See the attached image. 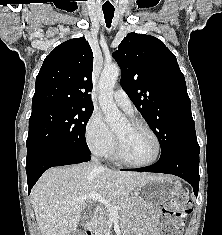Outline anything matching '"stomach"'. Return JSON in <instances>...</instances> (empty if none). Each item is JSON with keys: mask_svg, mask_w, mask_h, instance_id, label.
<instances>
[{"mask_svg": "<svg viewBox=\"0 0 222 235\" xmlns=\"http://www.w3.org/2000/svg\"><path fill=\"white\" fill-rule=\"evenodd\" d=\"M181 190L180 181L173 176H157L148 180L131 193L129 199L136 210L160 205L173 198Z\"/></svg>", "mask_w": 222, "mask_h": 235, "instance_id": "1", "label": "stomach"}]
</instances>
